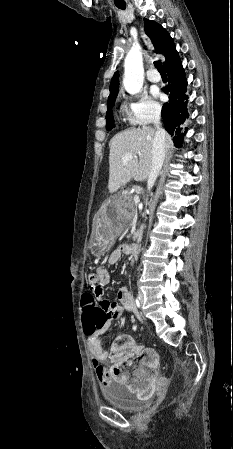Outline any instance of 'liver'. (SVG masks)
<instances>
[{
	"label": "liver",
	"mask_w": 233,
	"mask_h": 449,
	"mask_svg": "<svg viewBox=\"0 0 233 449\" xmlns=\"http://www.w3.org/2000/svg\"><path fill=\"white\" fill-rule=\"evenodd\" d=\"M155 133L153 128L143 126L122 131L110 140L108 181L110 193L116 192L132 178L136 181H144L149 176ZM165 147L169 150L173 148L171 137L166 133ZM127 154H133L134 158L123 163L122 158Z\"/></svg>",
	"instance_id": "6515ba94"
}]
</instances>
